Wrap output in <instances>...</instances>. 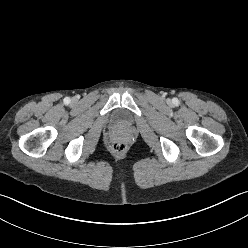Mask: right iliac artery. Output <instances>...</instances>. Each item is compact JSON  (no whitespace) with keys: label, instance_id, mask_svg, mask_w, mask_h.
<instances>
[{"label":"right iliac artery","instance_id":"right-iliac-artery-1","mask_svg":"<svg viewBox=\"0 0 248 248\" xmlns=\"http://www.w3.org/2000/svg\"><path fill=\"white\" fill-rule=\"evenodd\" d=\"M64 103L69 104L70 103V98L69 97L64 98Z\"/></svg>","mask_w":248,"mask_h":248}]
</instances>
